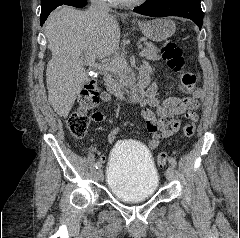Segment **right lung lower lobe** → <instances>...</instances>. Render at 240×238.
I'll use <instances>...</instances> for the list:
<instances>
[{
	"mask_svg": "<svg viewBox=\"0 0 240 238\" xmlns=\"http://www.w3.org/2000/svg\"><path fill=\"white\" fill-rule=\"evenodd\" d=\"M87 4V0H71L70 5L74 7H84ZM48 17V16H47ZM47 17L41 18V25L45 22Z\"/></svg>",
	"mask_w": 240,
	"mask_h": 238,
	"instance_id": "right-lung-lower-lobe-1",
	"label": "right lung lower lobe"
}]
</instances>
